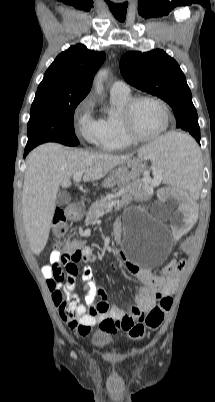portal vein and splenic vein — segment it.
I'll return each mask as SVG.
<instances>
[{
    "label": "portal vein and splenic vein",
    "instance_id": "18ae733b",
    "mask_svg": "<svg viewBox=\"0 0 215 402\" xmlns=\"http://www.w3.org/2000/svg\"><path fill=\"white\" fill-rule=\"evenodd\" d=\"M82 176H83V172H82V171L77 172V173L73 176L74 182L79 183V182L81 181ZM158 176L161 177V174L159 173ZM158 184H159V180L154 179V180L152 181V186H157ZM122 193H123V191L121 190V191L119 192V194H122ZM116 203H117V201H112L111 203H109V204L107 205V209H111L112 207H114V206L116 205Z\"/></svg>",
    "mask_w": 215,
    "mask_h": 402
}]
</instances>
